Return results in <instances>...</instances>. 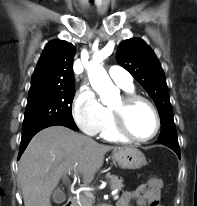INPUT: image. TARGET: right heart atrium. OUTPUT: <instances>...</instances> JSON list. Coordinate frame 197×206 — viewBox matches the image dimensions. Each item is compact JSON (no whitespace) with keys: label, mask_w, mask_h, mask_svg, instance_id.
I'll use <instances>...</instances> for the list:
<instances>
[{"label":"right heart atrium","mask_w":197,"mask_h":206,"mask_svg":"<svg viewBox=\"0 0 197 206\" xmlns=\"http://www.w3.org/2000/svg\"><path fill=\"white\" fill-rule=\"evenodd\" d=\"M72 115L84 133L96 135L105 120L106 108L90 87L82 86L74 96Z\"/></svg>","instance_id":"1"}]
</instances>
